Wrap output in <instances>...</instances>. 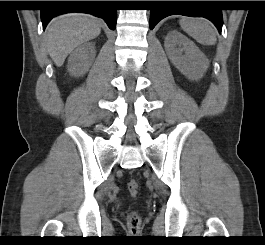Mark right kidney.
Here are the masks:
<instances>
[{"mask_svg": "<svg viewBox=\"0 0 265 245\" xmlns=\"http://www.w3.org/2000/svg\"><path fill=\"white\" fill-rule=\"evenodd\" d=\"M96 56L95 44L85 43L78 47L68 58L67 70L75 77L88 72Z\"/></svg>", "mask_w": 265, "mask_h": 245, "instance_id": "right-kidney-1", "label": "right kidney"}]
</instances>
